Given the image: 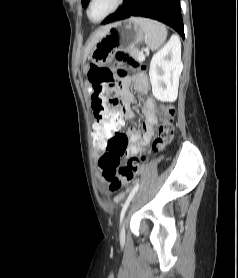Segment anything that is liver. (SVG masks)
Instances as JSON below:
<instances>
[{"instance_id": "obj_1", "label": "liver", "mask_w": 238, "mask_h": 278, "mask_svg": "<svg viewBox=\"0 0 238 278\" xmlns=\"http://www.w3.org/2000/svg\"><path fill=\"white\" fill-rule=\"evenodd\" d=\"M110 25L104 26L100 28L92 37L88 45L86 46L85 52H84V61L86 60L87 56L90 54L93 46L99 41L100 38H102L105 33L107 32Z\"/></svg>"}]
</instances>
